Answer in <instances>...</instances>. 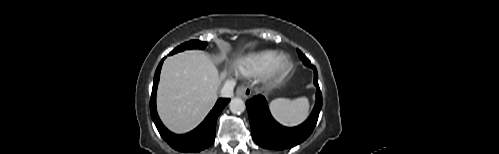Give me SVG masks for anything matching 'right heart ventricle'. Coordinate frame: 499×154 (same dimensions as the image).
I'll return each instance as SVG.
<instances>
[{
  "mask_svg": "<svg viewBox=\"0 0 499 154\" xmlns=\"http://www.w3.org/2000/svg\"><path fill=\"white\" fill-rule=\"evenodd\" d=\"M276 56L273 50H260L239 57L235 64L243 75L254 77L264 74Z\"/></svg>",
  "mask_w": 499,
  "mask_h": 154,
  "instance_id": "right-heart-ventricle-1",
  "label": "right heart ventricle"
}]
</instances>
